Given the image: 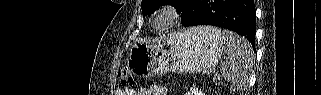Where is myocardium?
<instances>
[{
	"label": "myocardium",
	"instance_id": "myocardium-1",
	"mask_svg": "<svg viewBox=\"0 0 321 95\" xmlns=\"http://www.w3.org/2000/svg\"><path fill=\"white\" fill-rule=\"evenodd\" d=\"M180 11L173 5H163L151 16V27L156 31H165L172 28L180 19Z\"/></svg>",
	"mask_w": 321,
	"mask_h": 95
}]
</instances>
